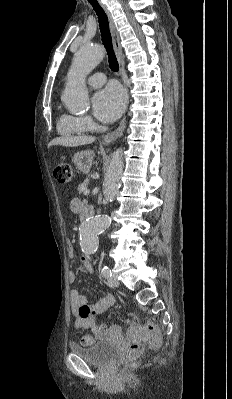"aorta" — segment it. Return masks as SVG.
<instances>
[{
  "label": "aorta",
  "instance_id": "obj_1",
  "mask_svg": "<svg viewBox=\"0 0 232 399\" xmlns=\"http://www.w3.org/2000/svg\"><path fill=\"white\" fill-rule=\"evenodd\" d=\"M104 50L100 45H85L76 52L68 73V81L62 100L71 112L88 109L89 96L85 79L101 62ZM123 170V150L117 149L108 166L103 183L104 196L113 201L118 191V180ZM111 224L107 215H98L86 219L79 227L80 246L85 254H94L98 247V236Z\"/></svg>",
  "mask_w": 232,
  "mask_h": 399
}]
</instances>
